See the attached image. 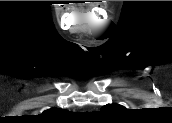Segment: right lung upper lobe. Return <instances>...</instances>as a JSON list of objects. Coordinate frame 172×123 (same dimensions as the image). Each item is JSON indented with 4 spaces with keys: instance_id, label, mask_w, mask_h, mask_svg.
<instances>
[{
    "instance_id": "1",
    "label": "right lung upper lobe",
    "mask_w": 172,
    "mask_h": 123,
    "mask_svg": "<svg viewBox=\"0 0 172 123\" xmlns=\"http://www.w3.org/2000/svg\"><path fill=\"white\" fill-rule=\"evenodd\" d=\"M63 112H66V111L62 109L51 108L49 110L44 111L42 115L43 117L53 118L55 116L63 114Z\"/></svg>"
}]
</instances>
